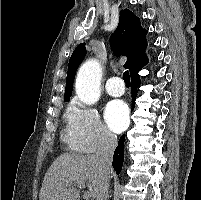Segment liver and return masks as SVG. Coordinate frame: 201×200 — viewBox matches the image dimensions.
<instances>
[{
    "instance_id": "obj_1",
    "label": "liver",
    "mask_w": 201,
    "mask_h": 200,
    "mask_svg": "<svg viewBox=\"0 0 201 200\" xmlns=\"http://www.w3.org/2000/svg\"><path fill=\"white\" fill-rule=\"evenodd\" d=\"M101 178V169L94 155L63 153L45 174L39 199L80 200V193L75 187L79 182H87L89 193L96 198Z\"/></svg>"
}]
</instances>
